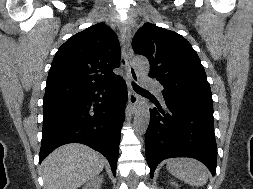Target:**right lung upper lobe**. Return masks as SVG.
Segmentation results:
<instances>
[{
    "label": "right lung upper lobe",
    "mask_w": 253,
    "mask_h": 189,
    "mask_svg": "<svg viewBox=\"0 0 253 189\" xmlns=\"http://www.w3.org/2000/svg\"><path fill=\"white\" fill-rule=\"evenodd\" d=\"M120 46L114 31L95 24L68 39L52 61L46 92L109 84L120 76Z\"/></svg>",
    "instance_id": "cb5924a9"
}]
</instances>
